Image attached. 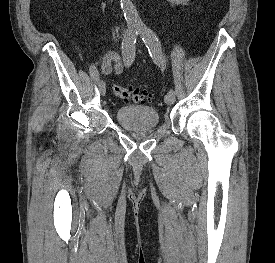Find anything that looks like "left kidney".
<instances>
[{"mask_svg": "<svg viewBox=\"0 0 275 263\" xmlns=\"http://www.w3.org/2000/svg\"><path fill=\"white\" fill-rule=\"evenodd\" d=\"M175 4H186L189 0H168Z\"/></svg>", "mask_w": 275, "mask_h": 263, "instance_id": "1", "label": "left kidney"}]
</instances>
